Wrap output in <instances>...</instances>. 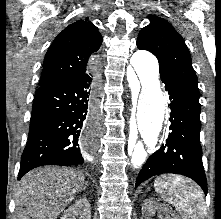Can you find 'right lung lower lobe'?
Returning <instances> with one entry per match:
<instances>
[{
	"label": "right lung lower lobe",
	"instance_id": "1",
	"mask_svg": "<svg viewBox=\"0 0 221 219\" xmlns=\"http://www.w3.org/2000/svg\"><path fill=\"white\" fill-rule=\"evenodd\" d=\"M94 89V75L89 71L36 90L17 180L39 166L84 162L80 145L85 127L94 122ZM89 136L94 143L95 134Z\"/></svg>",
	"mask_w": 221,
	"mask_h": 219
}]
</instances>
